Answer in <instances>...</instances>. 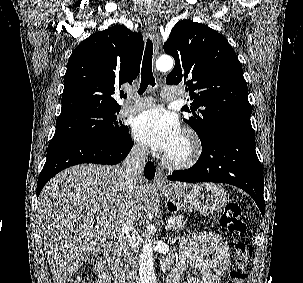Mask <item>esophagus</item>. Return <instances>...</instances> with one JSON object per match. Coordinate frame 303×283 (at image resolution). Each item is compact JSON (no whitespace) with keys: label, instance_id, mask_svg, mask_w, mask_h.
Masks as SVG:
<instances>
[{"label":"esophagus","instance_id":"esophagus-1","mask_svg":"<svg viewBox=\"0 0 303 283\" xmlns=\"http://www.w3.org/2000/svg\"><path fill=\"white\" fill-rule=\"evenodd\" d=\"M147 25L152 33V38L154 41V54H158L159 50V36L157 33V19L154 16H148L147 17ZM155 183L158 185L165 184V177L163 170L159 167L156 168V174H155Z\"/></svg>","mask_w":303,"mask_h":283}]
</instances>
